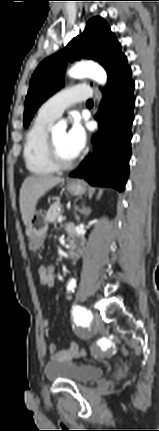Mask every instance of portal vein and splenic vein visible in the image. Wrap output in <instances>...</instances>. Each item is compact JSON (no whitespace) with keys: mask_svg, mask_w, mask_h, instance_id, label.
<instances>
[{"mask_svg":"<svg viewBox=\"0 0 159 431\" xmlns=\"http://www.w3.org/2000/svg\"><path fill=\"white\" fill-rule=\"evenodd\" d=\"M64 220V217L63 216H59L58 218H57V221L58 222H62Z\"/></svg>","mask_w":159,"mask_h":431,"instance_id":"1","label":"portal vein and splenic vein"}]
</instances>
